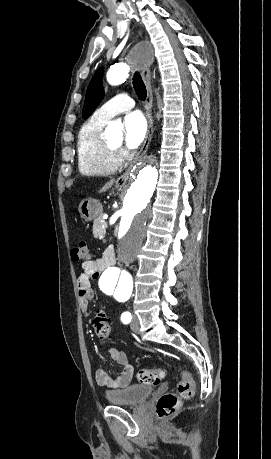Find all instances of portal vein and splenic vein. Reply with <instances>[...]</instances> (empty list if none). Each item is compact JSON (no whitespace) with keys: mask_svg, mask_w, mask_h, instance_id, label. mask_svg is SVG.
Instances as JSON below:
<instances>
[{"mask_svg":"<svg viewBox=\"0 0 271 459\" xmlns=\"http://www.w3.org/2000/svg\"><path fill=\"white\" fill-rule=\"evenodd\" d=\"M107 223H108V222L106 221V222H105V224L103 225V228H106V227H107V226H106V225H107Z\"/></svg>","mask_w":271,"mask_h":459,"instance_id":"1","label":"portal vein and splenic vein"}]
</instances>
